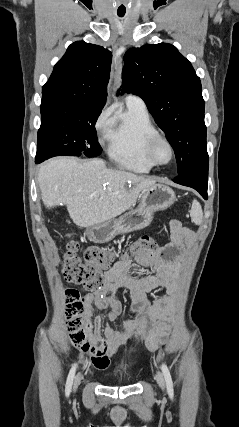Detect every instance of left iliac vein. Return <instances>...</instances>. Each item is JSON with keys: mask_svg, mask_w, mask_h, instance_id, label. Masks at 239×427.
Segmentation results:
<instances>
[{"mask_svg": "<svg viewBox=\"0 0 239 427\" xmlns=\"http://www.w3.org/2000/svg\"><path fill=\"white\" fill-rule=\"evenodd\" d=\"M155 379L159 387L164 390L165 389V381L161 372H157L155 375Z\"/></svg>", "mask_w": 239, "mask_h": 427, "instance_id": "1", "label": "left iliac vein"}]
</instances>
